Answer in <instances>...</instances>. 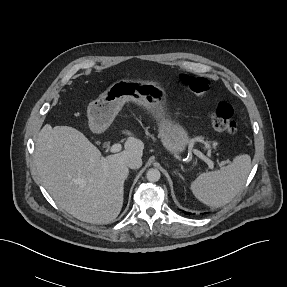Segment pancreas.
I'll return each instance as SVG.
<instances>
[{
  "instance_id": "pancreas-1",
  "label": "pancreas",
  "mask_w": 287,
  "mask_h": 287,
  "mask_svg": "<svg viewBox=\"0 0 287 287\" xmlns=\"http://www.w3.org/2000/svg\"><path fill=\"white\" fill-rule=\"evenodd\" d=\"M196 140L202 141V137L196 138V139H194V140H192V141H196ZM203 142H204V141H203ZM204 143L206 144V146H209V142H204Z\"/></svg>"
}]
</instances>
